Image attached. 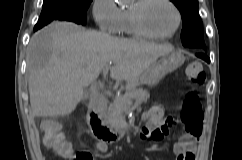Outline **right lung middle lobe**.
Here are the masks:
<instances>
[{"label": "right lung middle lobe", "instance_id": "right-lung-middle-lobe-1", "mask_svg": "<svg viewBox=\"0 0 242 160\" xmlns=\"http://www.w3.org/2000/svg\"><path fill=\"white\" fill-rule=\"evenodd\" d=\"M92 0H44L39 20L34 27L38 30L53 20H67L86 24V12Z\"/></svg>", "mask_w": 242, "mask_h": 160}]
</instances>
